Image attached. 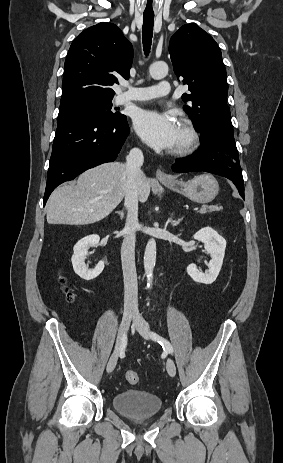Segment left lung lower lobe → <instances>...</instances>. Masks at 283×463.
Listing matches in <instances>:
<instances>
[{
  "label": "left lung lower lobe",
  "mask_w": 283,
  "mask_h": 463,
  "mask_svg": "<svg viewBox=\"0 0 283 463\" xmlns=\"http://www.w3.org/2000/svg\"><path fill=\"white\" fill-rule=\"evenodd\" d=\"M199 151L192 156L176 159V172L205 171L233 181L244 199V181L236 147L219 138L201 139Z\"/></svg>",
  "instance_id": "0a47b994"
}]
</instances>
